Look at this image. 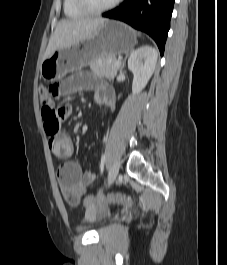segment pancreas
<instances>
[{
    "instance_id": "cf45deb5",
    "label": "pancreas",
    "mask_w": 227,
    "mask_h": 265,
    "mask_svg": "<svg viewBox=\"0 0 227 265\" xmlns=\"http://www.w3.org/2000/svg\"><path fill=\"white\" fill-rule=\"evenodd\" d=\"M115 57L98 58L90 63L91 71L98 76L114 79L117 75L119 67L116 63Z\"/></svg>"
}]
</instances>
